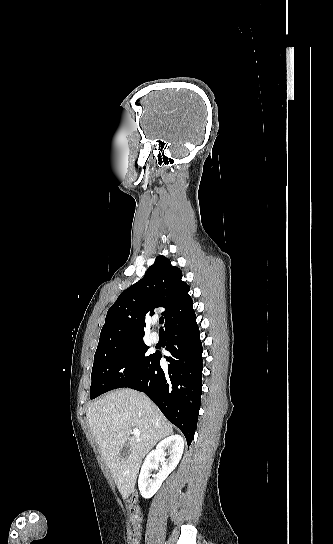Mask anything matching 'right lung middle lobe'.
Instances as JSON below:
<instances>
[{"label":"right lung middle lobe","instance_id":"right-lung-middle-lobe-1","mask_svg":"<svg viewBox=\"0 0 333 544\" xmlns=\"http://www.w3.org/2000/svg\"><path fill=\"white\" fill-rule=\"evenodd\" d=\"M148 348L143 337L99 341L91 374L90 399L137 382L154 357L147 354Z\"/></svg>","mask_w":333,"mask_h":544}]
</instances>
